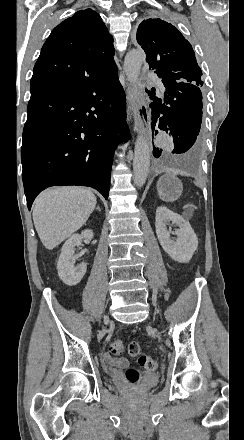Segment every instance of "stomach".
Wrapping results in <instances>:
<instances>
[{"mask_svg":"<svg viewBox=\"0 0 244 440\" xmlns=\"http://www.w3.org/2000/svg\"><path fill=\"white\" fill-rule=\"evenodd\" d=\"M158 196L163 202H175L183 192V184L175 174H163L157 182Z\"/></svg>","mask_w":244,"mask_h":440,"instance_id":"stomach-1","label":"stomach"}]
</instances>
